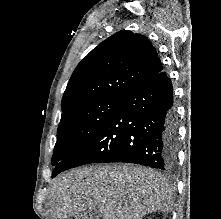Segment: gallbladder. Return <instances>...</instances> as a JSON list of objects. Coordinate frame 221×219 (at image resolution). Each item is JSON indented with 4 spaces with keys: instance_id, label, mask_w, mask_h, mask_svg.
<instances>
[{
    "instance_id": "bac80fb5",
    "label": "gallbladder",
    "mask_w": 221,
    "mask_h": 219,
    "mask_svg": "<svg viewBox=\"0 0 221 219\" xmlns=\"http://www.w3.org/2000/svg\"><path fill=\"white\" fill-rule=\"evenodd\" d=\"M100 212L98 208L85 211L83 214H81V219H99Z\"/></svg>"
}]
</instances>
